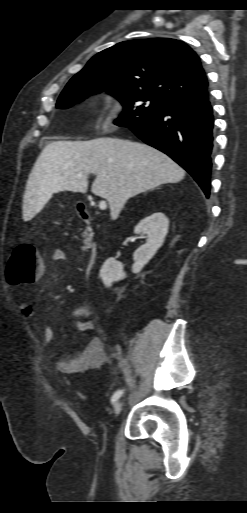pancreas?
<instances>
[{"label": "pancreas", "instance_id": "pancreas-1", "mask_svg": "<svg viewBox=\"0 0 247 513\" xmlns=\"http://www.w3.org/2000/svg\"><path fill=\"white\" fill-rule=\"evenodd\" d=\"M87 236H88L87 231H84V232H83V237H84L85 239L83 240V242H84L83 250H87V249H88V247H89V245H90V239H89Z\"/></svg>", "mask_w": 247, "mask_h": 513}]
</instances>
